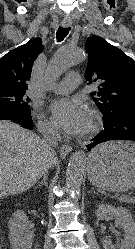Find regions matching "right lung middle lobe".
Returning <instances> with one entry per match:
<instances>
[{
	"mask_svg": "<svg viewBox=\"0 0 135 249\" xmlns=\"http://www.w3.org/2000/svg\"><path fill=\"white\" fill-rule=\"evenodd\" d=\"M25 91H0V104L11 105L30 113Z\"/></svg>",
	"mask_w": 135,
	"mask_h": 249,
	"instance_id": "right-lung-middle-lobe-1",
	"label": "right lung middle lobe"
}]
</instances>
